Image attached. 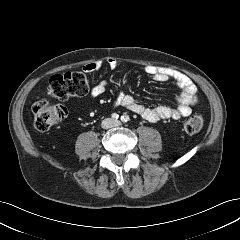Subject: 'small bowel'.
<instances>
[{"mask_svg":"<svg viewBox=\"0 0 240 240\" xmlns=\"http://www.w3.org/2000/svg\"><path fill=\"white\" fill-rule=\"evenodd\" d=\"M104 64L111 69H115L119 65L115 58H108L105 62L101 60L89 62L84 66V70L88 73L97 72ZM144 71L157 82H167L169 80H174L176 82L177 87L181 91L176 98L177 106L170 107L160 105L156 107H149L140 102L134 96L124 92L118 93L114 102L115 106L124 107L149 122H157L166 119H180L191 114L192 107L198 100V91L188 76L176 70L151 65L146 66ZM106 88L107 81H100L93 86L91 96L93 98L101 96L106 91Z\"/></svg>","mask_w":240,"mask_h":240,"instance_id":"1","label":"small bowel"}]
</instances>
